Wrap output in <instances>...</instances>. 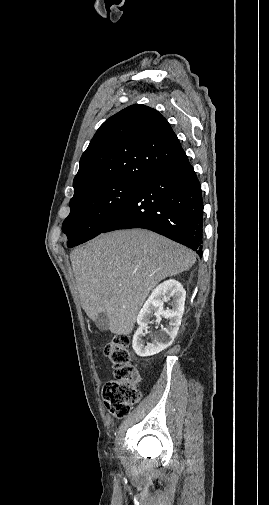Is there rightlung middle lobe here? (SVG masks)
I'll return each mask as SVG.
<instances>
[{
	"label": "right lung middle lobe",
	"mask_w": 269,
	"mask_h": 505,
	"mask_svg": "<svg viewBox=\"0 0 269 505\" xmlns=\"http://www.w3.org/2000/svg\"><path fill=\"white\" fill-rule=\"evenodd\" d=\"M140 185L109 182L74 195L70 200V214L62 225L68 237V247L84 243L102 233Z\"/></svg>",
	"instance_id": "1"
}]
</instances>
